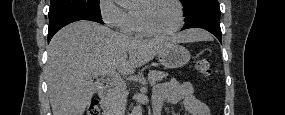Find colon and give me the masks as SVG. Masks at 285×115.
Segmentation results:
<instances>
[{"instance_id": "5ec220e1", "label": "colon", "mask_w": 285, "mask_h": 115, "mask_svg": "<svg viewBox=\"0 0 285 115\" xmlns=\"http://www.w3.org/2000/svg\"><path fill=\"white\" fill-rule=\"evenodd\" d=\"M196 70L199 74L205 77L210 76L212 72L210 62L207 59L198 60L196 63ZM99 113L98 101L91 100L86 109V115H98Z\"/></svg>"}]
</instances>
